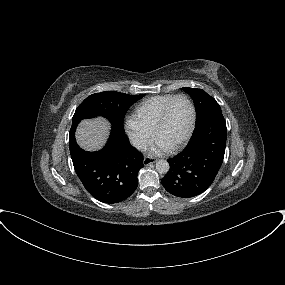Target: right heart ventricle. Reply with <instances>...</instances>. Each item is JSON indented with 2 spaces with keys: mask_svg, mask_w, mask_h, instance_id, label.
Listing matches in <instances>:
<instances>
[{
  "mask_svg": "<svg viewBox=\"0 0 285 285\" xmlns=\"http://www.w3.org/2000/svg\"><path fill=\"white\" fill-rule=\"evenodd\" d=\"M172 94L153 96L140 102L134 109L133 117L146 127L154 130L158 117Z\"/></svg>",
  "mask_w": 285,
  "mask_h": 285,
  "instance_id": "obj_1",
  "label": "right heart ventricle"
}]
</instances>
